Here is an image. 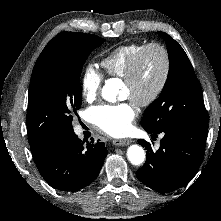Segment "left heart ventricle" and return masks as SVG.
Wrapping results in <instances>:
<instances>
[{
  "mask_svg": "<svg viewBox=\"0 0 221 221\" xmlns=\"http://www.w3.org/2000/svg\"><path fill=\"white\" fill-rule=\"evenodd\" d=\"M163 72V58L159 51L151 50L143 58L136 80L132 86L124 83L127 98L147 97L157 86Z\"/></svg>",
  "mask_w": 221,
  "mask_h": 221,
  "instance_id": "1",
  "label": "left heart ventricle"
}]
</instances>
